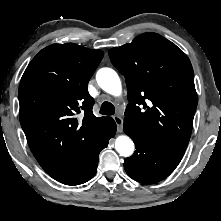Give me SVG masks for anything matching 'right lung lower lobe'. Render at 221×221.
I'll return each mask as SVG.
<instances>
[{"instance_id": "right-lung-lower-lobe-1", "label": "right lung lower lobe", "mask_w": 221, "mask_h": 221, "mask_svg": "<svg viewBox=\"0 0 221 221\" xmlns=\"http://www.w3.org/2000/svg\"><path fill=\"white\" fill-rule=\"evenodd\" d=\"M115 132L116 124L109 118L101 133L78 157L50 176L65 185H79L90 180L97 171L100 151L107 147Z\"/></svg>"}]
</instances>
